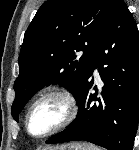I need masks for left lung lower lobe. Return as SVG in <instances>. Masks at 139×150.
Here are the masks:
<instances>
[{
    "mask_svg": "<svg viewBox=\"0 0 139 150\" xmlns=\"http://www.w3.org/2000/svg\"><path fill=\"white\" fill-rule=\"evenodd\" d=\"M95 68L104 82L99 97L91 79ZM75 98L77 117L47 144L83 140L108 150L133 149L139 120V32L122 0L113 4L86 80Z\"/></svg>",
    "mask_w": 139,
    "mask_h": 150,
    "instance_id": "1",
    "label": "left lung lower lobe"
}]
</instances>
